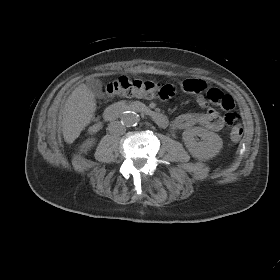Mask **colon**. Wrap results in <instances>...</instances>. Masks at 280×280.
Instances as JSON below:
<instances>
[{"instance_id":"1","label":"colon","mask_w":280,"mask_h":280,"mask_svg":"<svg viewBox=\"0 0 280 280\" xmlns=\"http://www.w3.org/2000/svg\"><path fill=\"white\" fill-rule=\"evenodd\" d=\"M105 91L111 95H119L124 97H157L162 100L170 99L175 94V87L170 84H160L154 81L142 80L127 76H121L108 83ZM208 100L219 105L226 111L224 117L225 126L231 127L230 137L233 141H238L243 135V127L239 122L240 114L235 109L234 100L224 95L218 89H210L207 92Z\"/></svg>"}]
</instances>
